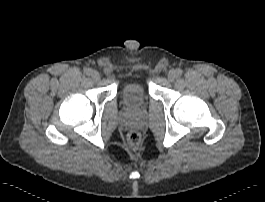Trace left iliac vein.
Wrapping results in <instances>:
<instances>
[{
    "mask_svg": "<svg viewBox=\"0 0 265 202\" xmlns=\"http://www.w3.org/2000/svg\"><path fill=\"white\" fill-rule=\"evenodd\" d=\"M177 77V73L175 70H170L168 73V80L173 82Z\"/></svg>",
    "mask_w": 265,
    "mask_h": 202,
    "instance_id": "left-iliac-vein-1",
    "label": "left iliac vein"
}]
</instances>
